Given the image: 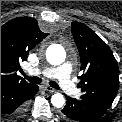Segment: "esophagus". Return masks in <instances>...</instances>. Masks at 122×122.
I'll return each instance as SVG.
<instances>
[{
    "label": "esophagus",
    "mask_w": 122,
    "mask_h": 122,
    "mask_svg": "<svg viewBox=\"0 0 122 122\" xmlns=\"http://www.w3.org/2000/svg\"><path fill=\"white\" fill-rule=\"evenodd\" d=\"M43 88H44L47 92H49V93H54V92H56V90H55L54 88L50 87L49 85H44Z\"/></svg>",
    "instance_id": "1"
}]
</instances>
